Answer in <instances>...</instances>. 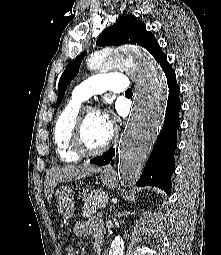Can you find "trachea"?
Instances as JSON below:
<instances>
[{"mask_svg":"<svg viewBox=\"0 0 221 255\" xmlns=\"http://www.w3.org/2000/svg\"><path fill=\"white\" fill-rule=\"evenodd\" d=\"M125 94H132V90L131 89H127Z\"/></svg>","mask_w":221,"mask_h":255,"instance_id":"1","label":"trachea"}]
</instances>
